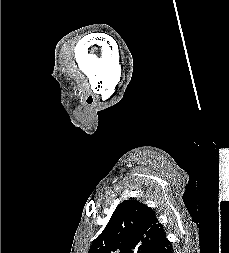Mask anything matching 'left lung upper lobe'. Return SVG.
<instances>
[{"label":"left lung upper lobe","mask_w":229,"mask_h":253,"mask_svg":"<svg viewBox=\"0 0 229 253\" xmlns=\"http://www.w3.org/2000/svg\"><path fill=\"white\" fill-rule=\"evenodd\" d=\"M165 237L163 226L150 207L136 200H124L88 253H154Z\"/></svg>","instance_id":"left-lung-upper-lobe-1"}]
</instances>
